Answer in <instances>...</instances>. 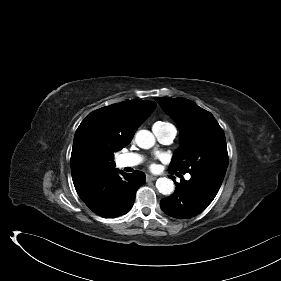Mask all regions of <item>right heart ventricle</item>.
Listing matches in <instances>:
<instances>
[{
  "label": "right heart ventricle",
  "mask_w": 281,
  "mask_h": 281,
  "mask_svg": "<svg viewBox=\"0 0 281 281\" xmlns=\"http://www.w3.org/2000/svg\"><path fill=\"white\" fill-rule=\"evenodd\" d=\"M171 125L170 123L168 122H164V121H158L154 124V126H157V127H166V126H169Z\"/></svg>",
  "instance_id": "obj_1"
}]
</instances>
